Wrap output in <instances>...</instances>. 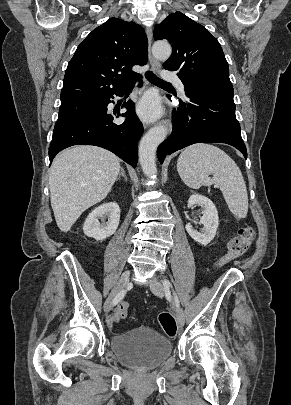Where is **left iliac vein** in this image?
<instances>
[{"label": "left iliac vein", "mask_w": 291, "mask_h": 405, "mask_svg": "<svg viewBox=\"0 0 291 405\" xmlns=\"http://www.w3.org/2000/svg\"><path fill=\"white\" fill-rule=\"evenodd\" d=\"M149 286H150L151 291L156 296L162 297L164 295L166 288L160 282L153 280L150 282ZM176 316H177V322H178L179 326L182 327L184 325L185 317H184V311L179 305H177V308H176Z\"/></svg>", "instance_id": "obj_1"}]
</instances>
